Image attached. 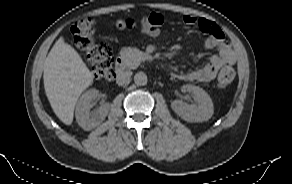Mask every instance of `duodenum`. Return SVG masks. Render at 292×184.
<instances>
[{
  "instance_id": "duodenum-1",
  "label": "duodenum",
  "mask_w": 292,
  "mask_h": 184,
  "mask_svg": "<svg viewBox=\"0 0 292 184\" xmlns=\"http://www.w3.org/2000/svg\"><path fill=\"white\" fill-rule=\"evenodd\" d=\"M115 68H116L117 75L119 77H122L124 75V72H125V65H124L123 60L120 57L116 58Z\"/></svg>"
}]
</instances>
